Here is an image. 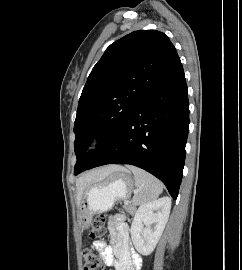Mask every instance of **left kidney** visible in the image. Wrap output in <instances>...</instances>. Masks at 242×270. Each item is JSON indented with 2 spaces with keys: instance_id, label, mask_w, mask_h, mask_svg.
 Returning a JSON list of instances; mask_svg holds the SVG:
<instances>
[{
  "instance_id": "1",
  "label": "left kidney",
  "mask_w": 242,
  "mask_h": 270,
  "mask_svg": "<svg viewBox=\"0 0 242 270\" xmlns=\"http://www.w3.org/2000/svg\"><path fill=\"white\" fill-rule=\"evenodd\" d=\"M170 209L169 197L145 203L138 208L130 230L138 253L148 256L153 252L168 221Z\"/></svg>"
}]
</instances>
